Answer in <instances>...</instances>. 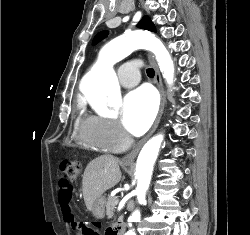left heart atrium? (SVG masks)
<instances>
[{
    "instance_id": "left-heart-atrium-1",
    "label": "left heart atrium",
    "mask_w": 250,
    "mask_h": 235,
    "mask_svg": "<svg viewBox=\"0 0 250 235\" xmlns=\"http://www.w3.org/2000/svg\"><path fill=\"white\" fill-rule=\"evenodd\" d=\"M157 97L147 87H139L130 92L123 101V124L133 135L143 134L153 122L157 112Z\"/></svg>"
}]
</instances>
